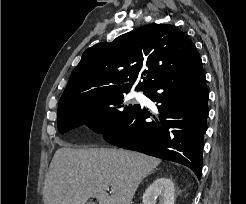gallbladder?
<instances>
[{
	"label": "gallbladder",
	"instance_id": "1",
	"mask_svg": "<svg viewBox=\"0 0 246 204\" xmlns=\"http://www.w3.org/2000/svg\"><path fill=\"white\" fill-rule=\"evenodd\" d=\"M86 204H96L95 202L89 201Z\"/></svg>",
	"mask_w": 246,
	"mask_h": 204
}]
</instances>
